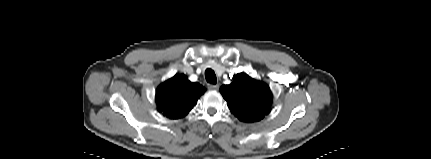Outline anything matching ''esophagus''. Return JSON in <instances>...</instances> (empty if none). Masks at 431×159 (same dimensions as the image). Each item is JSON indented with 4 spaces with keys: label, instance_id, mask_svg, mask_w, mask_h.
<instances>
[{
    "label": "esophagus",
    "instance_id": "esophagus-1",
    "mask_svg": "<svg viewBox=\"0 0 431 159\" xmlns=\"http://www.w3.org/2000/svg\"><path fill=\"white\" fill-rule=\"evenodd\" d=\"M208 88H209L210 90H218L219 85H218V84H209V85H208Z\"/></svg>",
    "mask_w": 431,
    "mask_h": 159
}]
</instances>
